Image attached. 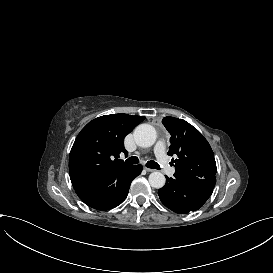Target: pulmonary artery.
<instances>
[{"label":"pulmonary artery","instance_id":"e3ab8cb5","mask_svg":"<svg viewBox=\"0 0 273 273\" xmlns=\"http://www.w3.org/2000/svg\"><path fill=\"white\" fill-rule=\"evenodd\" d=\"M167 144V141L165 139H161L158 144L155 145L154 150L159 155L158 159L160 161V165L163 168L165 175L167 178L172 179L176 175V171L174 169V166L169 159L167 152V149L165 145Z\"/></svg>","mask_w":273,"mask_h":273}]
</instances>
